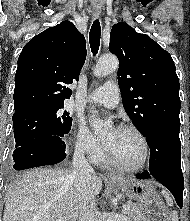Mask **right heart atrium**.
Instances as JSON below:
<instances>
[{"label":"right heart atrium","instance_id":"d8ad5b80","mask_svg":"<svg viewBox=\"0 0 190 221\" xmlns=\"http://www.w3.org/2000/svg\"><path fill=\"white\" fill-rule=\"evenodd\" d=\"M74 148L76 152L95 160L103 153V145L83 124H78L74 134Z\"/></svg>","mask_w":190,"mask_h":221}]
</instances>
